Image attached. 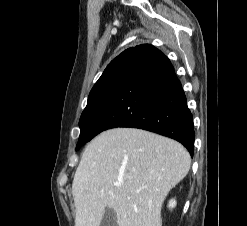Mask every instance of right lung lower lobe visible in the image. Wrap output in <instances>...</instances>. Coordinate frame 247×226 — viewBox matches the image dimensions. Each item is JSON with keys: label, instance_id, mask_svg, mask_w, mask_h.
I'll list each match as a JSON object with an SVG mask.
<instances>
[{"label": "right lung lower lobe", "instance_id": "98d812e1", "mask_svg": "<svg viewBox=\"0 0 247 226\" xmlns=\"http://www.w3.org/2000/svg\"><path fill=\"white\" fill-rule=\"evenodd\" d=\"M116 127L139 128L170 137L193 156V117L184 91L170 60L152 45L136 46L129 54L90 140Z\"/></svg>", "mask_w": 247, "mask_h": 226}]
</instances>
